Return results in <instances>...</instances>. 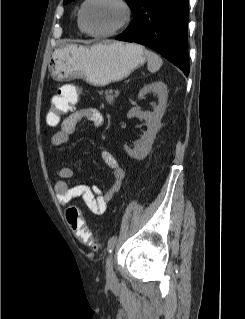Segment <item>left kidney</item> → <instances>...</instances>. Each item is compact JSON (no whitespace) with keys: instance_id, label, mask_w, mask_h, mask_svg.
<instances>
[{"instance_id":"obj_1","label":"left kidney","mask_w":245,"mask_h":319,"mask_svg":"<svg viewBox=\"0 0 245 319\" xmlns=\"http://www.w3.org/2000/svg\"><path fill=\"white\" fill-rule=\"evenodd\" d=\"M155 93L158 96V105L154 108L153 112L141 111L139 107H133L127 113V118L131 119L138 117L144 119L147 124V131L137 141L134 149H130L124 145V149L128 155L134 159L142 160L149 153L151 146L154 142L156 134L161 126V119L166 109L167 103V86L162 81H156L151 84L145 85L138 94V98L144 97L148 93Z\"/></svg>"}]
</instances>
